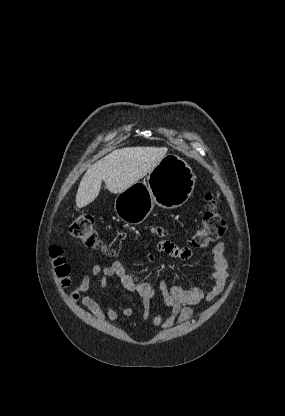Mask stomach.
Returning <instances> with one entry per match:
<instances>
[{"label":"stomach","instance_id":"obj_1","mask_svg":"<svg viewBox=\"0 0 285 416\" xmlns=\"http://www.w3.org/2000/svg\"><path fill=\"white\" fill-rule=\"evenodd\" d=\"M194 186L195 176L187 162L175 154H167L149 172L146 182H137L118 194L114 210L126 224H141L155 204L166 210L183 206Z\"/></svg>","mask_w":285,"mask_h":416}]
</instances>
